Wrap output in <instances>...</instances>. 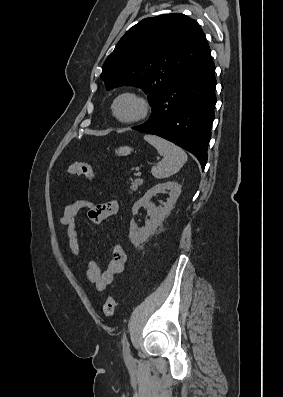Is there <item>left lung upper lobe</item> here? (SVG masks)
<instances>
[{
  "label": "left lung upper lobe",
  "mask_w": 283,
  "mask_h": 397,
  "mask_svg": "<svg viewBox=\"0 0 283 397\" xmlns=\"http://www.w3.org/2000/svg\"><path fill=\"white\" fill-rule=\"evenodd\" d=\"M211 52L197 21L179 13L146 18L131 27L107 57L101 79L107 89L136 86L151 106Z\"/></svg>",
  "instance_id": "1"
}]
</instances>
